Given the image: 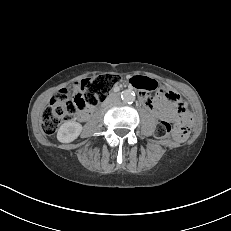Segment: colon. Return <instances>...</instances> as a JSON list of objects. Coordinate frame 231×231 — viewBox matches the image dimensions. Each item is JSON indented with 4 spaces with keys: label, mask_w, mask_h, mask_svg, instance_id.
Returning <instances> with one entry per match:
<instances>
[{
    "label": "colon",
    "mask_w": 231,
    "mask_h": 231,
    "mask_svg": "<svg viewBox=\"0 0 231 231\" xmlns=\"http://www.w3.org/2000/svg\"><path fill=\"white\" fill-rule=\"evenodd\" d=\"M120 80L121 78L117 74H101L76 83L74 89L77 92L74 96H70L66 90L58 92L42 116V131L45 134H52L63 121L74 118L78 112L86 108L99 105ZM132 85L143 93L155 88V82L144 77L134 78ZM160 95L171 100V95L166 89H162ZM176 114L180 118L179 121L176 122L173 118L168 117L158 123L155 131L157 137L184 139L188 136L190 127L185 121L187 110L183 104H178Z\"/></svg>",
    "instance_id": "1"
}]
</instances>
